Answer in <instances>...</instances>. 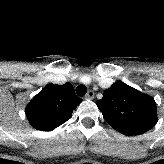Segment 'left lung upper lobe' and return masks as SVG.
Listing matches in <instances>:
<instances>
[{"label":"left lung upper lobe","mask_w":164,"mask_h":164,"mask_svg":"<svg viewBox=\"0 0 164 164\" xmlns=\"http://www.w3.org/2000/svg\"><path fill=\"white\" fill-rule=\"evenodd\" d=\"M96 105L115 130L128 136L143 134L157 123L154 98L122 81L106 89Z\"/></svg>","instance_id":"5c2ea615"}]
</instances>
